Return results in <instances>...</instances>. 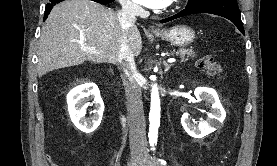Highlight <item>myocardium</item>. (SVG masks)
I'll return each mask as SVG.
<instances>
[{
	"label": "myocardium",
	"instance_id": "myocardium-1",
	"mask_svg": "<svg viewBox=\"0 0 277 166\" xmlns=\"http://www.w3.org/2000/svg\"><path fill=\"white\" fill-rule=\"evenodd\" d=\"M179 3H180V0H173V1L171 2L172 7H177V6L179 5Z\"/></svg>",
	"mask_w": 277,
	"mask_h": 166
}]
</instances>
